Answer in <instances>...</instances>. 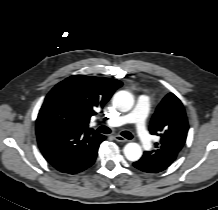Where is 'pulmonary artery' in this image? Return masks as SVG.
Instances as JSON below:
<instances>
[{
	"mask_svg": "<svg viewBox=\"0 0 218 210\" xmlns=\"http://www.w3.org/2000/svg\"><path fill=\"white\" fill-rule=\"evenodd\" d=\"M151 105L149 96L143 95L139 98L134 111L129 114L121 115L116 118L109 119L108 125L112 127L122 126L128 123H135L137 136L145 149H150L152 146L150 135L148 134L145 121Z\"/></svg>",
	"mask_w": 218,
	"mask_h": 210,
	"instance_id": "obj_1",
	"label": "pulmonary artery"
}]
</instances>
